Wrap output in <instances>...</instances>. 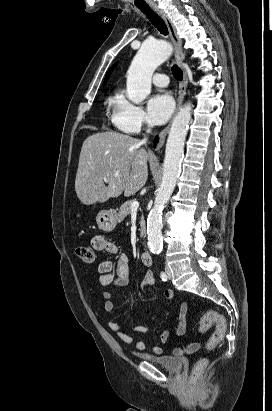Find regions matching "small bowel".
Segmentation results:
<instances>
[{
	"label": "small bowel",
	"instance_id": "small-bowel-1",
	"mask_svg": "<svg viewBox=\"0 0 272 411\" xmlns=\"http://www.w3.org/2000/svg\"><path fill=\"white\" fill-rule=\"evenodd\" d=\"M92 247L99 252H105L112 255H117L115 261L104 260L98 265V270L100 273L99 281L104 287L111 286H126L130 281V266L129 258L125 254L119 253V247L112 241L107 240L103 235H95L91 241ZM156 285V279L151 270H147L141 280L140 287L142 291H145L148 287H154ZM165 298L172 301L176 298V292L173 289H166L164 292ZM104 310L107 313L112 312L114 309V303L112 301L113 294L110 290H105L103 292ZM188 305L187 303H182L179 307L178 313V325L173 330H165L160 334V340L162 343H166L171 337L181 336L186 330V316H187ZM158 317L157 314L149 317L148 321L152 322ZM108 328L116 334V336L124 343L134 346L137 350L143 351L146 348V343L143 340L137 339L128 333L121 325L115 321H108ZM136 333H146L148 327L145 325H138L131 329ZM152 351L155 354H161L162 348L158 345H152ZM199 349L198 343L189 344L185 348H175L173 353L175 355H184L186 353H193Z\"/></svg>",
	"mask_w": 272,
	"mask_h": 411
}]
</instances>
